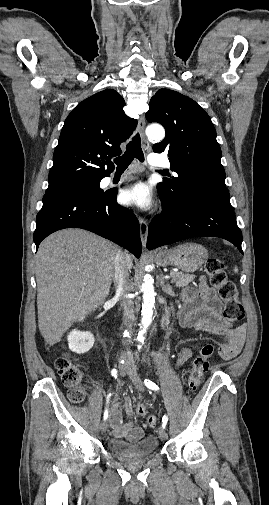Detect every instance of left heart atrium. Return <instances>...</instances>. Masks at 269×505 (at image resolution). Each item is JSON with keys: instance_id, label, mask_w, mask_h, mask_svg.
<instances>
[{"instance_id": "left-heart-atrium-1", "label": "left heart atrium", "mask_w": 269, "mask_h": 505, "mask_svg": "<svg viewBox=\"0 0 269 505\" xmlns=\"http://www.w3.org/2000/svg\"><path fill=\"white\" fill-rule=\"evenodd\" d=\"M124 204L140 209H148L152 204V196L148 186L142 182L125 188L121 193Z\"/></svg>"}]
</instances>
